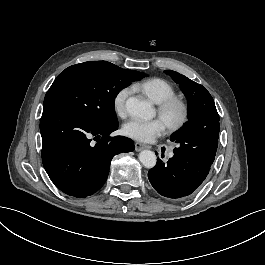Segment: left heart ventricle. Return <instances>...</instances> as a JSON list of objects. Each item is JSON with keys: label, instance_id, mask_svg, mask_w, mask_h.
<instances>
[{"label": "left heart ventricle", "instance_id": "b2bd125f", "mask_svg": "<svg viewBox=\"0 0 265 265\" xmlns=\"http://www.w3.org/2000/svg\"><path fill=\"white\" fill-rule=\"evenodd\" d=\"M172 120H175L177 118V112H173L170 116Z\"/></svg>", "mask_w": 265, "mask_h": 265}]
</instances>
